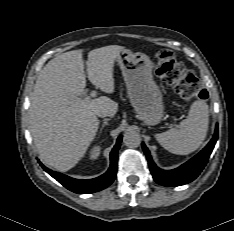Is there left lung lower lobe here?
Listing matches in <instances>:
<instances>
[{
	"label": "left lung lower lobe",
	"instance_id": "1",
	"mask_svg": "<svg viewBox=\"0 0 234 231\" xmlns=\"http://www.w3.org/2000/svg\"><path fill=\"white\" fill-rule=\"evenodd\" d=\"M217 138L218 126H216L213 138L200 153H198L195 157H193L180 167L173 170H162L158 168L152 161L150 152L143 143L142 148L147 157L148 164L150 166V171L154 180L158 184L163 186H180L193 181L200 174V172L203 170L204 166L208 162V159L214 148Z\"/></svg>",
	"mask_w": 234,
	"mask_h": 231
}]
</instances>
